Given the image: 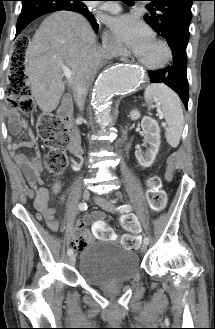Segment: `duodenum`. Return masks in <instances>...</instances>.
Returning a JSON list of instances; mask_svg holds the SVG:
<instances>
[{"mask_svg": "<svg viewBox=\"0 0 215 329\" xmlns=\"http://www.w3.org/2000/svg\"><path fill=\"white\" fill-rule=\"evenodd\" d=\"M58 115L64 126L66 127L69 134V142L67 148L69 152L73 155H79L82 153L81 140L78 132L75 130L72 120L73 115V105L70 96H64L59 110Z\"/></svg>", "mask_w": 215, "mask_h": 329, "instance_id": "duodenum-1", "label": "duodenum"}]
</instances>
